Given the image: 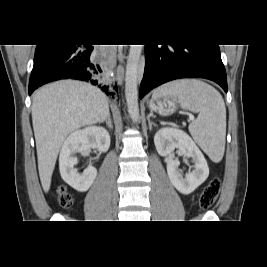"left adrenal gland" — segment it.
Returning a JSON list of instances; mask_svg holds the SVG:
<instances>
[{
	"label": "left adrenal gland",
	"instance_id": "1",
	"mask_svg": "<svg viewBox=\"0 0 267 267\" xmlns=\"http://www.w3.org/2000/svg\"><path fill=\"white\" fill-rule=\"evenodd\" d=\"M151 116H152V113H150V114L148 115V117H147L148 125H149V130H150V131L152 130V126H155V127L157 126L154 122H152V121L150 120Z\"/></svg>",
	"mask_w": 267,
	"mask_h": 267
}]
</instances>
